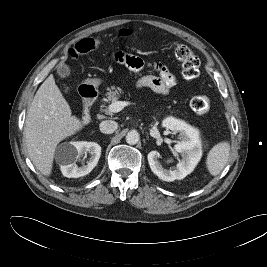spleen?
I'll return each mask as SVG.
<instances>
[{
  "mask_svg": "<svg viewBox=\"0 0 267 267\" xmlns=\"http://www.w3.org/2000/svg\"><path fill=\"white\" fill-rule=\"evenodd\" d=\"M230 152L228 142H220L214 145L206 158V166L209 173L213 176L218 175L225 167Z\"/></svg>",
  "mask_w": 267,
  "mask_h": 267,
  "instance_id": "obj_1",
  "label": "spleen"
}]
</instances>
